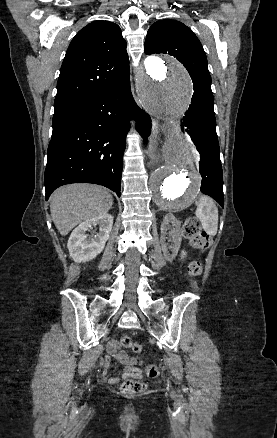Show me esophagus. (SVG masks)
<instances>
[{"mask_svg":"<svg viewBox=\"0 0 277 438\" xmlns=\"http://www.w3.org/2000/svg\"><path fill=\"white\" fill-rule=\"evenodd\" d=\"M152 133L154 139L159 138V122L157 120H153L152 122Z\"/></svg>","mask_w":277,"mask_h":438,"instance_id":"1","label":"esophagus"}]
</instances>
